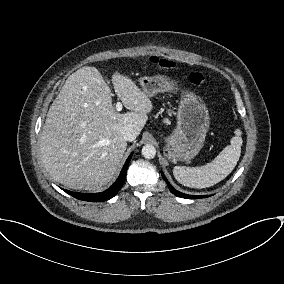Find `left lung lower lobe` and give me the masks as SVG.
I'll return each mask as SVG.
<instances>
[{
    "label": "left lung lower lobe",
    "mask_w": 284,
    "mask_h": 284,
    "mask_svg": "<svg viewBox=\"0 0 284 284\" xmlns=\"http://www.w3.org/2000/svg\"><path fill=\"white\" fill-rule=\"evenodd\" d=\"M163 176V179L166 181L170 191L178 196V197H182V198H186V199H199V198H205V197H209L210 195H199V196H195V195H188V194H184V193H181L179 191H177L176 189H174L171 184L168 182V180L166 179V177L164 176V174H162Z\"/></svg>",
    "instance_id": "obj_1"
}]
</instances>
